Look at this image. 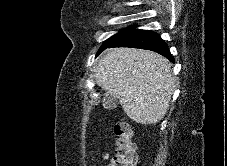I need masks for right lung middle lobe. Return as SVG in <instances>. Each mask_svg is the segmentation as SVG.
Segmentation results:
<instances>
[{"mask_svg": "<svg viewBox=\"0 0 227 166\" xmlns=\"http://www.w3.org/2000/svg\"><path fill=\"white\" fill-rule=\"evenodd\" d=\"M132 28H135V26L133 27H130V28H126V29H123L122 31H120L119 33L115 34L114 36H112L111 38H109L108 40L105 41V43L103 44V46L100 48L99 52L102 51V49L109 45L110 43L122 38L123 36H125L126 34L130 33L131 31H133Z\"/></svg>", "mask_w": 227, "mask_h": 166, "instance_id": "dd1d6c3e", "label": "right lung middle lobe"}]
</instances>
